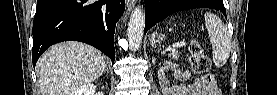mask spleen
Masks as SVG:
<instances>
[{"mask_svg":"<svg viewBox=\"0 0 277 95\" xmlns=\"http://www.w3.org/2000/svg\"><path fill=\"white\" fill-rule=\"evenodd\" d=\"M205 25L209 34L213 50V62L217 68L222 67L228 60L231 51V39L225 24L215 14L206 12ZM154 32L151 37L152 46L155 45Z\"/></svg>","mask_w":277,"mask_h":95,"instance_id":"obj_1","label":"spleen"}]
</instances>
